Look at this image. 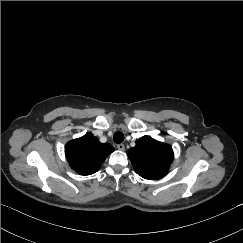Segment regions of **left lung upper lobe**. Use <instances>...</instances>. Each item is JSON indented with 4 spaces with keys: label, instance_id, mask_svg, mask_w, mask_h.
Instances as JSON below:
<instances>
[{
    "label": "left lung upper lobe",
    "instance_id": "obj_1",
    "mask_svg": "<svg viewBox=\"0 0 243 243\" xmlns=\"http://www.w3.org/2000/svg\"><path fill=\"white\" fill-rule=\"evenodd\" d=\"M127 155L135 172L145 179L164 177L173 162L172 147L150 136L138 139L136 146L130 148Z\"/></svg>",
    "mask_w": 243,
    "mask_h": 243
}]
</instances>
